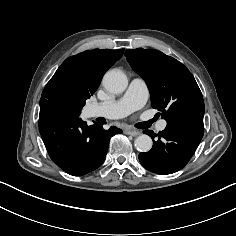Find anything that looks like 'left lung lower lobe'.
Segmentation results:
<instances>
[{
    "label": "left lung lower lobe",
    "instance_id": "obj_1",
    "mask_svg": "<svg viewBox=\"0 0 236 236\" xmlns=\"http://www.w3.org/2000/svg\"><path fill=\"white\" fill-rule=\"evenodd\" d=\"M151 136L153 147L140 153L139 161L144 168L157 174H171L182 169L191 159L203 137V118L183 117L167 122V127Z\"/></svg>",
    "mask_w": 236,
    "mask_h": 236
}]
</instances>
